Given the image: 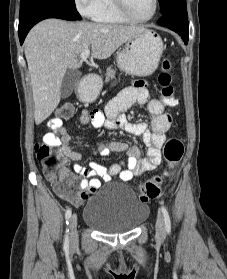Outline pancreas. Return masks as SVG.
Here are the masks:
<instances>
[{"instance_id":"cf45deb5","label":"pancreas","mask_w":227,"mask_h":279,"mask_svg":"<svg viewBox=\"0 0 227 279\" xmlns=\"http://www.w3.org/2000/svg\"><path fill=\"white\" fill-rule=\"evenodd\" d=\"M115 73H116V70L112 69L111 67H108L107 73H106V80L109 81L110 78L111 79L114 78Z\"/></svg>"}]
</instances>
